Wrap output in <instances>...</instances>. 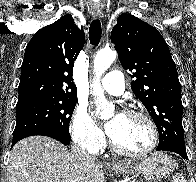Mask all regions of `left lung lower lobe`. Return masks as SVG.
<instances>
[{
  "mask_svg": "<svg viewBox=\"0 0 196 182\" xmlns=\"http://www.w3.org/2000/svg\"><path fill=\"white\" fill-rule=\"evenodd\" d=\"M157 151H170L179 154L184 160H187V153L184 146H167V147H157Z\"/></svg>",
  "mask_w": 196,
  "mask_h": 182,
  "instance_id": "1",
  "label": "left lung lower lobe"
}]
</instances>
